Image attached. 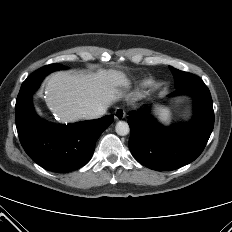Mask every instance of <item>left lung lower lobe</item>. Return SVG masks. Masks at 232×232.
<instances>
[{"mask_svg":"<svg viewBox=\"0 0 232 232\" xmlns=\"http://www.w3.org/2000/svg\"><path fill=\"white\" fill-rule=\"evenodd\" d=\"M187 94L194 100V116L179 127L161 126L148 110L131 111L129 149L142 165L156 170H175L194 161L203 151L214 126L209 89L199 78L177 88L170 96Z\"/></svg>","mask_w":232,"mask_h":232,"instance_id":"left-lung-lower-lobe-1","label":"left lung lower lobe"}]
</instances>
